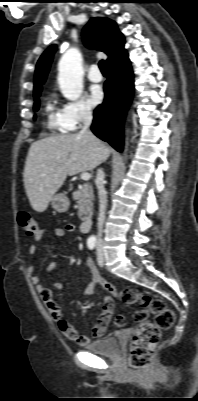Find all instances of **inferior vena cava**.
<instances>
[{
	"instance_id": "1",
	"label": "inferior vena cava",
	"mask_w": 198,
	"mask_h": 401,
	"mask_svg": "<svg viewBox=\"0 0 198 401\" xmlns=\"http://www.w3.org/2000/svg\"><path fill=\"white\" fill-rule=\"evenodd\" d=\"M82 119H83V127L82 130L80 131V134L85 135L91 139H94L95 136L93 133L90 131L89 127L92 123V112L90 110H85L82 114ZM104 178L105 174L103 170L100 168L97 170V175H96V187L98 190V196H99V216H98V239H97V244H101L102 239V231H103V224L105 221V212H106V207H107V192L104 187Z\"/></svg>"
}]
</instances>
